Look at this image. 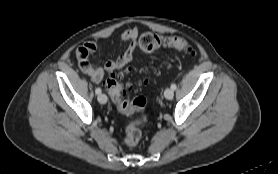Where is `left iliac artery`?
<instances>
[{"mask_svg": "<svg viewBox=\"0 0 278 174\" xmlns=\"http://www.w3.org/2000/svg\"><path fill=\"white\" fill-rule=\"evenodd\" d=\"M176 88H177V86H176L175 83L171 84V89H172V90H176Z\"/></svg>", "mask_w": 278, "mask_h": 174, "instance_id": "44dca946", "label": "left iliac artery"}]
</instances>
